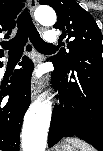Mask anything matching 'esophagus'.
Returning a JSON list of instances; mask_svg holds the SVG:
<instances>
[{
	"instance_id": "obj_1",
	"label": "esophagus",
	"mask_w": 103,
	"mask_h": 151,
	"mask_svg": "<svg viewBox=\"0 0 103 151\" xmlns=\"http://www.w3.org/2000/svg\"><path fill=\"white\" fill-rule=\"evenodd\" d=\"M36 6H37V0H28V7H29L31 14H33ZM41 61H42L41 57H36L35 65H38ZM40 90H41V83L37 79L34 78L32 80V86H31V98H32V100H34L37 97Z\"/></svg>"
}]
</instances>
